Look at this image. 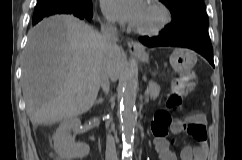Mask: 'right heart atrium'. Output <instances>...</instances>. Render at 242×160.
Listing matches in <instances>:
<instances>
[{
    "mask_svg": "<svg viewBox=\"0 0 242 160\" xmlns=\"http://www.w3.org/2000/svg\"><path fill=\"white\" fill-rule=\"evenodd\" d=\"M107 25H110V22H107Z\"/></svg>",
    "mask_w": 242,
    "mask_h": 160,
    "instance_id": "obj_1",
    "label": "right heart atrium"
}]
</instances>
